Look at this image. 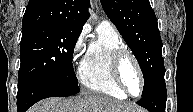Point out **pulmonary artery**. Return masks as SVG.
I'll return each instance as SVG.
<instances>
[{
  "label": "pulmonary artery",
  "mask_w": 193,
  "mask_h": 112,
  "mask_svg": "<svg viewBox=\"0 0 193 112\" xmlns=\"http://www.w3.org/2000/svg\"><path fill=\"white\" fill-rule=\"evenodd\" d=\"M102 26H110V27H113L111 22H109L108 20H104L102 23H101Z\"/></svg>",
  "instance_id": "obj_1"
}]
</instances>
